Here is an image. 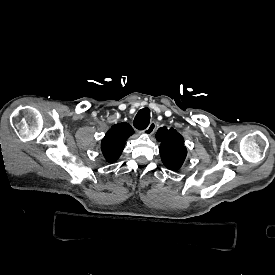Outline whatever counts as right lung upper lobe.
I'll return each instance as SVG.
<instances>
[{"instance_id":"obj_1","label":"right lung upper lobe","mask_w":275,"mask_h":275,"mask_svg":"<svg viewBox=\"0 0 275 275\" xmlns=\"http://www.w3.org/2000/svg\"><path fill=\"white\" fill-rule=\"evenodd\" d=\"M134 133L132 127L126 123H118L111 127L102 139L101 150L108 162H115L121 155L125 142Z\"/></svg>"}]
</instances>
